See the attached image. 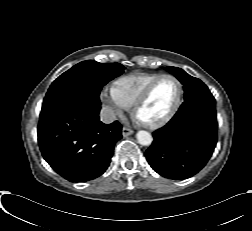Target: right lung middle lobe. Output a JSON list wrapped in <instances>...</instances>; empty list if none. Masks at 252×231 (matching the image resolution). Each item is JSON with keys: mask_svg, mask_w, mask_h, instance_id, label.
Listing matches in <instances>:
<instances>
[{"mask_svg": "<svg viewBox=\"0 0 252 231\" xmlns=\"http://www.w3.org/2000/svg\"><path fill=\"white\" fill-rule=\"evenodd\" d=\"M124 69L119 63H99L94 60L80 62L51 84L42 108L66 99L100 104L99 94L102 87L121 75Z\"/></svg>", "mask_w": 252, "mask_h": 231, "instance_id": "1", "label": "right lung middle lobe"}]
</instances>
